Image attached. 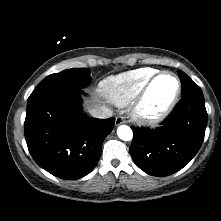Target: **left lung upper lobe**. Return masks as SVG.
<instances>
[{
  "instance_id": "1",
  "label": "left lung upper lobe",
  "mask_w": 221,
  "mask_h": 221,
  "mask_svg": "<svg viewBox=\"0 0 221 221\" xmlns=\"http://www.w3.org/2000/svg\"><path fill=\"white\" fill-rule=\"evenodd\" d=\"M178 74L181 79L182 85L181 98H185L188 96L203 97L201 88L196 83H194L183 71L179 70Z\"/></svg>"
}]
</instances>
